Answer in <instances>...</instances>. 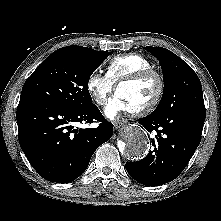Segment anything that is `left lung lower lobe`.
Segmentation results:
<instances>
[{"mask_svg":"<svg viewBox=\"0 0 221 221\" xmlns=\"http://www.w3.org/2000/svg\"><path fill=\"white\" fill-rule=\"evenodd\" d=\"M205 115L181 110L149 115L139 123L156 133L154 149L138 162H127L129 175L141 184L158 186L174 180L184 170L201 141Z\"/></svg>","mask_w":221,"mask_h":221,"instance_id":"obj_1","label":"left lung lower lobe"}]
</instances>
